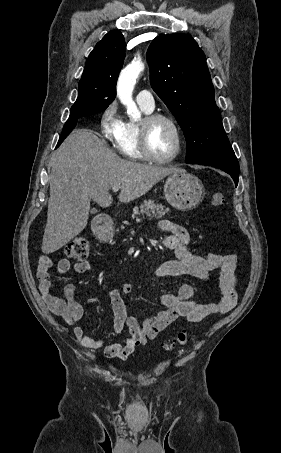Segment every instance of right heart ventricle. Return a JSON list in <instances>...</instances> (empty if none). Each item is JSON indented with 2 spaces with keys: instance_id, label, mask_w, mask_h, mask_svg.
Instances as JSON below:
<instances>
[{
  "instance_id": "1",
  "label": "right heart ventricle",
  "mask_w": 281,
  "mask_h": 453,
  "mask_svg": "<svg viewBox=\"0 0 281 453\" xmlns=\"http://www.w3.org/2000/svg\"><path fill=\"white\" fill-rule=\"evenodd\" d=\"M137 103L144 114H152L153 109H148L144 104ZM140 125V122L133 119H126L122 122L120 133L115 140V148L122 157L135 161L143 158L140 149Z\"/></svg>"
}]
</instances>
